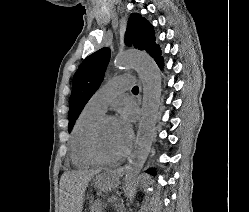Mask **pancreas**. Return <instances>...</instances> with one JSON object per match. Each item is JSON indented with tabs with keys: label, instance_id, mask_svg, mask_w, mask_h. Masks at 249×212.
<instances>
[{
	"label": "pancreas",
	"instance_id": "pancreas-1",
	"mask_svg": "<svg viewBox=\"0 0 249 212\" xmlns=\"http://www.w3.org/2000/svg\"><path fill=\"white\" fill-rule=\"evenodd\" d=\"M102 210V204H98V202H96V204H93L91 208V212H102Z\"/></svg>",
	"mask_w": 249,
	"mask_h": 212
}]
</instances>
